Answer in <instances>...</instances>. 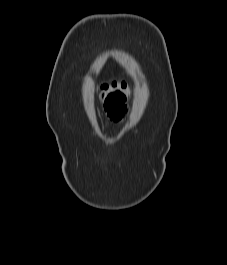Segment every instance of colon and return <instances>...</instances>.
<instances>
[{"label":"colon","mask_w":227,"mask_h":265,"mask_svg":"<svg viewBox=\"0 0 227 265\" xmlns=\"http://www.w3.org/2000/svg\"><path fill=\"white\" fill-rule=\"evenodd\" d=\"M96 94L102 100L105 112L113 121L120 120L127 109L129 88L123 82H112L101 85Z\"/></svg>","instance_id":"5ec220e1"}]
</instances>
